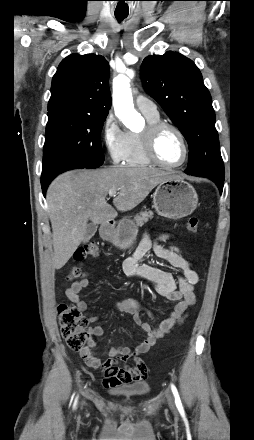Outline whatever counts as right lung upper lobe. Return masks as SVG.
Listing matches in <instances>:
<instances>
[{"label":"right lung upper lobe","mask_w":254,"mask_h":440,"mask_svg":"<svg viewBox=\"0 0 254 440\" xmlns=\"http://www.w3.org/2000/svg\"><path fill=\"white\" fill-rule=\"evenodd\" d=\"M108 78L109 66L104 57L69 55L53 76L48 112L71 109L107 116L111 106Z\"/></svg>","instance_id":"obj_1"}]
</instances>
